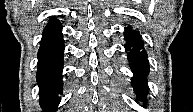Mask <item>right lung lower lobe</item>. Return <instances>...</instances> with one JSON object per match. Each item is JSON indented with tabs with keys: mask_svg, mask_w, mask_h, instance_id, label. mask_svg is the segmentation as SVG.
Returning a JSON list of instances; mask_svg holds the SVG:
<instances>
[{
	"mask_svg": "<svg viewBox=\"0 0 193 112\" xmlns=\"http://www.w3.org/2000/svg\"><path fill=\"white\" fill-rule=\"evenodd\" d=\"M62 26L54 17L45 27L38 51L37 83L40 91V105L44 112L57 108L62 93V63L64 41Z\"/></svg>",
	"mask_w": 193,
	"mask_h": 112,
	"instance_id": "1",
	"label": "right lung lower lobe"
}]
</instances>
